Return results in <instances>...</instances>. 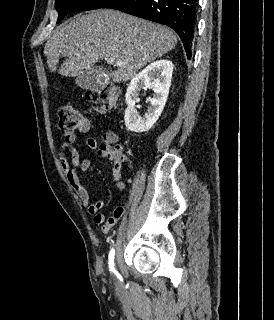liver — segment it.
Segmentation results:
<instances>
[{
  "label": "liver",
  "mask_w": 274,
  "mask_h": 320,
  "mask_svg": "<svg viewBox=\"0 0 274 320\" xmlns=\"http://www.w3.org/2000/svg\"><path fill=\"white\" fill-rule=\"evenodd\" d=\"M177 36L166 26L123 14L118 10H93L77 14L56 28L44 48L50 72H56L60 58H67L59 68L61 76H80L93 70L101 58L123 62L117 70H107V78L116 84L128 82L139 70L171 52Z\"/></svg>",
  "instance_id": "6515ba94"
}]
</instances>
